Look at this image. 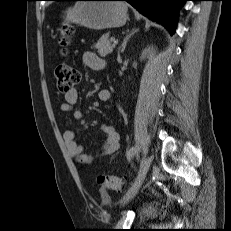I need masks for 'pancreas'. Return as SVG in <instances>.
I'll return each mask as SVG.
<instances>
[{
	"label": "pancreas",
	"instance_id": "obj_1",
	"mask_svg": "<svg viewBox=\"0 0 231 231\" xmlns=\"http://www.w3.org/2000/svg\"><path fill=\"white\" fill-rule=\"evenodd\" d=\"M94 47L98 50L100 56L105 57L112 53L114 45L111 44V41L109 40V34L107 33L102 35Z\"/></svg>",
	"mask_w": 231,
	"mask_h": 231
}]
</instances>
